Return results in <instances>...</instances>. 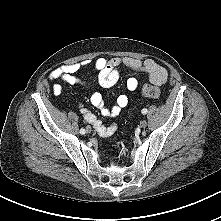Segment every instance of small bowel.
Wrapping results in <instances>:
<instances>
[{
  "mask_svg": "<svg viewBox=\"0 0 221 221\" xmlns=\"http://www.w3.org/2000/svg\"><path fill=\"white\" fill-rule=\"evenodd\" d=\"M122 66L132 70L136 74H144L151 82L157 85H162L168 80L166 68L156 63L155 60H140L128 56L113 57L111 59L98 57L62 65L50 73L49 79L51 81L75 84L78 82L75 74L84 67H92L98 73L99 84L104 88H108L118 81L120 76L119 69ZM138 84L137 76L129 77L126 81V87L129 91H135L138 88ZM52 89L55 96H59L63 92V86L59 82L54 83ZM90 102L104 117L116 118L122 109L128 105L129 99L127 95L121 94L117 97L115 104L109 108L106 106L102 95L99 92H93L90 96ZM80 107L84 120L91 124L101 137H108L116 132V123L105 126L90 110L83 106Z\"/></svg>",
  "mask_w": 221,
  "mask_h": 221,
  "instance_id": "obj_1",
  "label": "small bowel"
}]
</instances>
